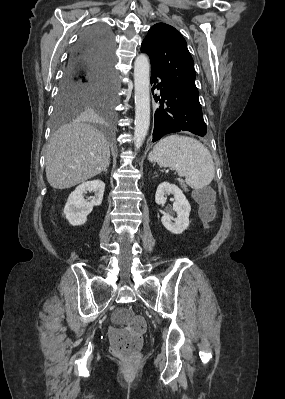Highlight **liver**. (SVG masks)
<instances>
[{"label": "liver", "mask_w": 285, "mask_h": 399, "mask_svg": "<svg viewBox=\"0 0 285 399\" xmlns=\"http://www.w3.org/2000/svg\"><path fill=\"white\" fill-rule=\"evenodd\" d=\"M110 163L109 142L82 118L63 125L49 142L46 177L55 189H66L95 177Z\"/></svg>", "instance_id": "1"}]
</instances>
